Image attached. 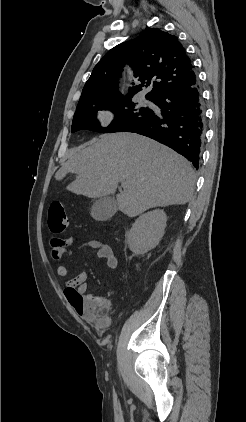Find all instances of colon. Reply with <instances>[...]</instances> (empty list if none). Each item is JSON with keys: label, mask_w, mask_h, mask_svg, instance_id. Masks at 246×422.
Returning <instances> with one entry per match:
<instances>
[{"label": "colon", "mask_w": 246, "mask_h": 422, "mask_svg": "<svg viewBox=\"0 0 246 422\" xmlns=\"http://www.w3.org/2000/svg\"><path fill=\"white\" fill-rule=\"evenodd\" d=\"M68 218L65 206L60 201H53L48 209V226L53 233H62L66 229Z\"/></svg>", "instance_id": "colon-1"}]
</instances>
